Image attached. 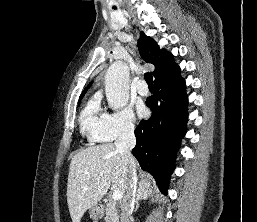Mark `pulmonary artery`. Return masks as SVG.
Returning a JSON list of instances; mask_svg holds the SVG:
<instances>
[{
	"label": "pulmonary artery",
	"mask_w": 257,
	"mask_h": 222,
	"mask_svg": "<svg viewBox=\"0 0 257 222\" xmlns=\"http://www.w3.org/2000/svg\"><path fill=\"white\" fill-rule=\"evenodd\" d=\"M136 90L140 95H147L148 94V87L144 81H139L136 84Z\"/></svg>",
	"instance_id": "1"
}]
</instances>
